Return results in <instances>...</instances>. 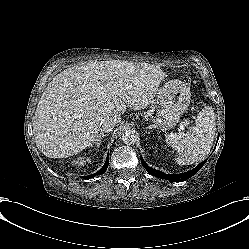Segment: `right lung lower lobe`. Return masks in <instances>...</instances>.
<instances>
[{
	"label": "right lung lower lobe",
	"mask_w": 249,
	"mask_h": 249,
	"mask_svg": "<svg viewBox=\"0 0 249 249\" xmlns=\"http://www.w3.org/2000/svg\"><path fill=\"white\" fill-rule=\"evenodd\" d=\"M108 164H109V156H107L106 162H105L104 166L102 167V169H100V170H99L98 172H96L95 174L90 175V176H88V177H86V178H92V177H94V176H96V175L103 174V173L107 170Z\"/></svg>",
	"instance_id": "98d812e1"
}]
</instances>
